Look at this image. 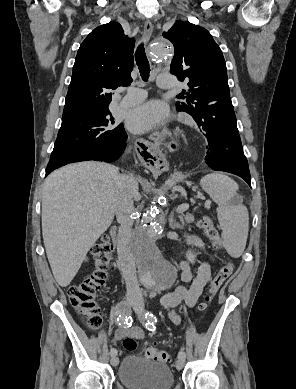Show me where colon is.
Listing matches in <instances>:
<instances>
[{
	"label": "colon",
	"instance_id": "5ec220e1",
	"mask_svg": "<svg viewBox=\"0 0 296 389\" xmlns=\"http://www.w3.org/2000/svg\"><path fill=\"white\" fill-rule=\"evenodd\" d=\"M199 225L213 246L216 249H220L222 246L221 239L211 219L204 215L200 219ZM112 249L109 237L107 235L102 236L91 249L94 259V270L81 282L70 286L67 292L71 305L82 315L86 324L92 329L97 328L102 321L96 302V294L107 280L108 269L112 259ZM233 272L234 264L232 262L224 264L219 269L210 283L208 295L200 304L199 309L201 311L208 309L218 291ZM123 347L127 351H134L137 343L134 338L126 337L123 340ZM145 353L148 358L158 362L168 363L171 360V356L167 351L159 350L154 346L148 347Z\"/></svg>",
	"mask_w": 296,
	"mask_h": 389
}]
</instances>
